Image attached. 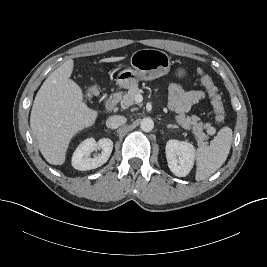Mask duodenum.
<instances>
[{
    "instance_id": "duodenum-1",
    "label": "duodenum",
    "mask_w": 267,
    "mask_h": 267,
    "mask_svg": "<svg viewBox=\"0 0 267 267\" xmlns=\"http://www.w3.org/2000/svg\"><path fill=\"white\" fill-rule=\"evenodd\" d=\"M121 99V92L120 91H116L114 93H112L108 99L106 100L105 103V108L107 111H112L119 103Z\"/></svg>"
}]
</instances>
